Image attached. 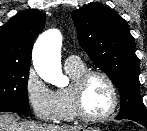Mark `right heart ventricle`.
<instances>
[{
	"label": "right heart ventricle",
	"instance_id": "e07e8e85",
	"mask_svg": "<svg viewBox=\"0 0 147 131\" xmlns=\"http://www.w3.org/2000/svg\"><path fill=\"white\" fill-rule=\"evenodd\" d=\"M65 71L73 81L81 73L86 71V67L84 64L78 66H65ZM55 93L57 95L60 106V114L57 121L69 122L75 120L77 115L73 106L71 85L68 87L59 88L57 91H55Z\"/></svg>",
	"mask_w": 147,
	"mask_h": 131
}]
</instances>
